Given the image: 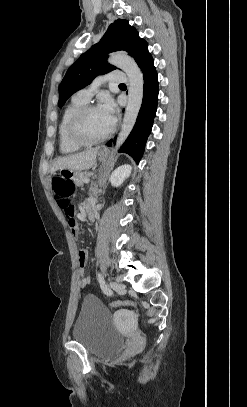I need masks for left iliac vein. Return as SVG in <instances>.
I'll return each instance as SVG.
<instances>
[{
	"mask_svg": "<svg viewBox=\"0 0 247 407\" xmlns=\"http://www.w3.org/2000/svg\"><path fill=\"white\" fill-rule=\"evenodd\" d=\"M110 286L114 291L119 292V293L124 292L125 288H126L124 284H122V283H120L118 281L111 282Z\"/></svg>",
	"mask_w": 247,
	"mask_h": 407,
	"instance_id": "4c4485c4",
	"label": "left iliac vein"
}]
</instances>
